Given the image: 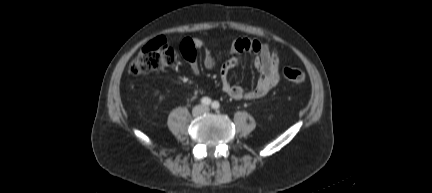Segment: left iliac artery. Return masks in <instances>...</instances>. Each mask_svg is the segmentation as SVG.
Segmentation results:
<instances>
[{
  "label": "left iliac artery",
  "instance_id": "44dca946",
  "mask_svg": "<svg viewBox=\"0 0 432 193\" xmlns=\"http://www.w3.org/2000/svg\"><path fill=\"white\" fill-rule=\"evenodd\" d=\"M212 108L213 109H215V110H217V109H219V107H220V104H219V102L218 101H214L213 103H212Z\"/></svg>",
  "mask_w": 432,
  "mask_h": 193
}]
</instances>
